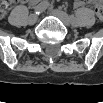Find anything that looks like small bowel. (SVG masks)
<instances>
[{"label": "small bowel", "instance_id": "obj_1", "mask_svg": "<svg viewBox=\"0 0 103 103\" xmlns=\"http://www.w3.org/2000/svg\"><path fill=\"white\" fill-rule=\"evenodd\" d=\"M31 4L33 5L36 4V1H32ZM85 4H86L85 1L80 0V1H76L74 5L76 8H81V7H84ZM11 5H12V2L8 5L6 11L2 15H4L10 9Z\"/></svg>", "mask_w": 103, "mask_h": 103}]
</instances>
